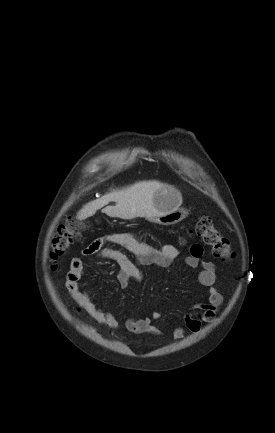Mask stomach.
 I'll return each instance as SVG.
<instances>
[{"label":"stomach","instance_id":"stomach-1","mask_svg":"<svg viewBox=\"0 0 275 433\" xmlns=\"http://www.w3.org/2000/svg\"><path fill=\"white\" fill-rule=\"evenodd\" d=\"M181 201V194L176 189L164 185L154 193L153 203L158 215L150 220L165 226L174 225L182 221L188 212L180 208Z\"/></svg>","mask_w":275,"mask_h":433}]
</instances>
